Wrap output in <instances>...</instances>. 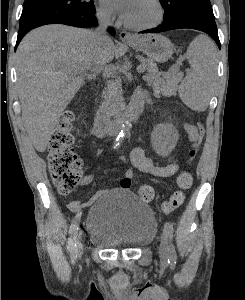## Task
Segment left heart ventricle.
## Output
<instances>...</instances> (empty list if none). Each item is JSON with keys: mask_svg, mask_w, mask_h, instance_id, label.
I'll use <instances>...</instances> for the list:
<instances>
[{"mask_svg": "<svg viewBox=\"0 0 245 300\" xmlns=\"http://www.w3.org/2000/svg\"><path fill=\"white\" fill-rule=\"evenodd\" d=\"M157 9L151 0H132L125 20L132 24H149L157 18Z\"/></svg>", "mask_w": 245, "mask_h": 300, "instance_id": "b2bd125f", "label": "left heart ventricle"}]
</instances>
